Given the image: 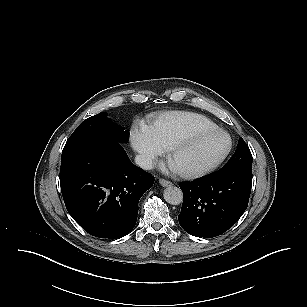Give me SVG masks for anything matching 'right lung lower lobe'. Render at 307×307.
<instances>
[{
    "instance_id": "98d812e1",
    "label": "right lung lower lobe",
    "mask_w": 307,
    "mask_h": 307,
    "mask_svg": "<svg viewBox=\"0 0 307 307\" xmlns=\"http://www.w3.org/2000/svg\"><path fill=\"white\" fill-rule=\"evenodd\" d=\"M153 182L119 142L90 144L61 159L66 208L87 233L99 238H120L133 229L138 202Z\"/></svg>"
}]
</instances>
